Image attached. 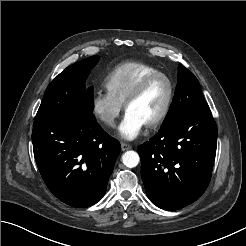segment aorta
Returning a JSON list of instances; mask_svg holds the SVG:
<instances>
[{"mask_svg": "<svg viewBox=\"0 0 246 246\" xmlns=\"http://www.w3.org/2000/svg\"><path fill=\"white\" fill-rule=\"evenodd\" d=\"M123 164L128 168H134L139 164L140 158L137 152L127 151L122 156Z\"/></svg>", "mask_w": 246, "mask_h": 246, "instance_id": "762f6f07", "label": "aorta"}]
</instances>
